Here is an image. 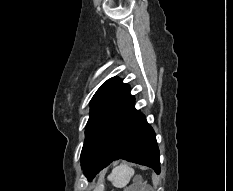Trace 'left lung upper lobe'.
<instances>
[{
  "label": "left lung upper lobe",
  "mask_w": 233,
  "mask_h": 191,
  "mask_svg": "<svg viewBox=\"0 0 233 191\" xmlns=\"http://www.w3.org/2000/svg\"><path fill=\"white\" fill-rule=\"evenodd\" d=\"M131 97L130 87L122 83L118 77L108 79L97 90L90 102V117L85 130L81 166L103 130Z\"/></svg>",
  "instance_id": "5c2ea615"
}]
</instances>
